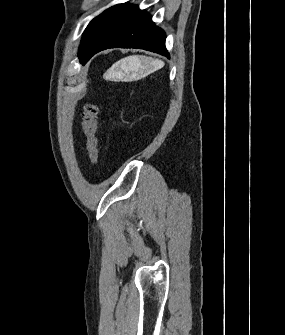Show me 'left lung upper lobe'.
<instances>
[{
    "instance_id": "5c2ea615",
    "label": "left lung upper lobe",
    "mask_w": 285,
    "mask_h": 335,
    "mask_svg": "<svg viewBox=\"0 0 285 335\" xmlns=\"http://www.w3.org/2000/svg\"><path fill=\"white\" fill-rule=\"evenodd\" d=\"M92 22H93V21H91V22L89 23V25L87 26L86 30L84 31L83 37H84V35H85L87 29L89 28V26L91 25ZM82 39H83V38H82ZM81 42H82V41H81ZM80 46H81V45H80ZM79 50H80V48H79Z\"/></svg>"
}]
</instances>
